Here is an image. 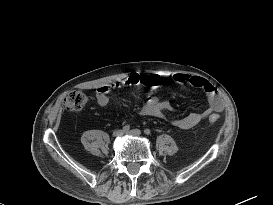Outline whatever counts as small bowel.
<instances>
[{"instance_id": "obj_1", "label": "small bowel", "mask_w": 273, "mask_h": 205, "mask_svg": "<svg viewBox=\"0 0 273 205\" xmlns=\"http://www.w3.org/2000/svg\"><path fill=\"white\" fill-rule=\"evenodd\" d=\"M170 80L180 84H191L192 86L203 90L208 100V108L202 113H190L183 118L174 121V125L180 129H190L197 125L202 119L212 113L221 112L224 108L223 100L207 80L186 74H175L168 77ZM160 81L157 74L132 73L119 80L109 84L101 85L96 92V100L99 106L107 108L109 106L108 93L115 88L127 87L132 85H143L146 87L155 86ZM173 109L172 104L167 100L158 97L148 96L141 107V114L145 116L161 117L164 111Z\"/></svg>"}]
</instances>
